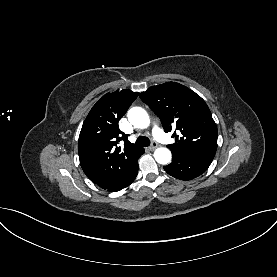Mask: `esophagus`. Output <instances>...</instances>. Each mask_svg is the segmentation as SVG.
<instances>
[{
  "mask_svg": "<svg viewBox=\"0 0 277 277\" xmlns=\"http://www.w3.org/2000/svg\"><path fill=\"white\" fill-rule=\"evenodd\" d=\"M157 147V143H152V145L151 146H149L148 148H149V150H154L155 148Z\"/></svg>",
  "mask_w": 277,
  "mask_h": 277,
  "instance_id": "34e87169",
  "label": "esophagus"
}]
</instances>
